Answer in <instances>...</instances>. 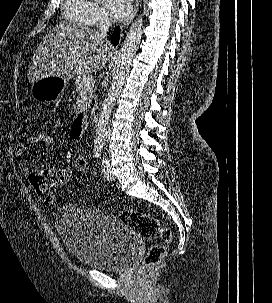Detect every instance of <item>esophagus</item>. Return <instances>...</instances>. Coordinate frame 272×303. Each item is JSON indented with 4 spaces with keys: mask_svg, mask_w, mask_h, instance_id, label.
<instances>
[{
    "mask_svg": "<svg viewBox=\"0 0 272 303\" xmlns=\"http://www.w3.org/2000/svg\"><path fill=\"white\" fill-rule=\"evenodd\" d=\"M140 2L141 0H135L131 14L120 24L121 29L126 28L132 22V20L134 19V17L136 16L139 10Z\"/></svg>",
    "mask_w": 272,
    "mask_h": 303,
    "instance_id": "esophagus-1",
    "label": "esophagus"
}]
</instances>
